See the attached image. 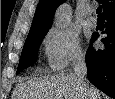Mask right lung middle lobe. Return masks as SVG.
Here are the masks:
<instances>
[{
  "label": "right lung middle lobe",
  "mask_w": 115,
  "mask_h": 99,
  "mask_svg": "<svg viewBox=\"0 0 115 99\" xmlns=\"http://www.w3.org/2000/svg\"><path fill=\"white\" fill-rule=\"evenodd\" d=\"M45 34L28 36L23 47L17 73L31 66L37 59V52Z\"/></svg>",
  "instance_id": "dd1d6c3e"
}]
</instances>
